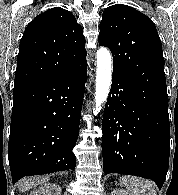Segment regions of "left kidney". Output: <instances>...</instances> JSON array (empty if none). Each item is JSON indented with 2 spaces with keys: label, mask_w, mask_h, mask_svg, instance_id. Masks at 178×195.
I'll return each mask as SVG.
<instances>
[{
  "label": "left kidney",
  "mask_w": 178,
  "mask_h": 195,
  "mask_svg": "<svg viewBox=\"0 0 178 195\" xmlns=\"http://www.w3.org/2000/svg\"><path fill=\"white\" fill-rule=\"evenodd\" d=\"M110 195H132V194L127 190L116 188L111 192Z\"/></svg>",
  "instance_id": "left-kidney-1"
}]
</instances>
